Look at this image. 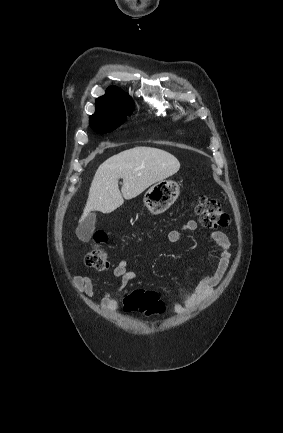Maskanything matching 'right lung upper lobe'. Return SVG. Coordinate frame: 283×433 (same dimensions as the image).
<instances>
[{
  "instance_id": "cb5924a9",
  "label": "right lung upper lobe",
  "mask_w": 283,
  "mask_h": 433,
  "mask_svg": "<svg viewBox=\"0 0 283 433\" xmlns=\"http://www.w3.org/2000/svg\"><path fill=\"white\" fill-rule=\"evenodd\" d=\"M95 114H103L116 111H132L131 98L115 87L107 89L106 94L96 99Z\"/></svg>"
}]
</instances>
